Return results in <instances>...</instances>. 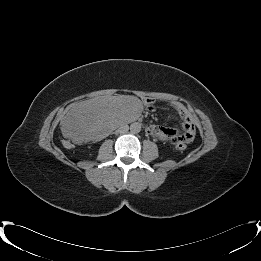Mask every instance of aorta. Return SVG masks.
Listing matches in <instances>:
<instances>
[{
	"label": "aorta",
	"mask_w": 261,
	"mask_h": 261,
	"mask_svg": "<svg viewBox=\"0 0 261 261\" xmlns=\"http://www.w3.org/2000/svg\"><path fill=\"white\" fill-rule=\"evenodd\" d=\"M130 131L133 134H137L141 131V124L138 122H134L130 125Z\"/></svg>",
	"instance_id": "1"
}]
</instances>
